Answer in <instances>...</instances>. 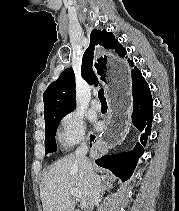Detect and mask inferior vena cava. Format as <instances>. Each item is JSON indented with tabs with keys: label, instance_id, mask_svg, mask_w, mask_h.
Instances as JSON below:
<instances>
[{
	"label": "inferior vena cava",
	"instance_id": "1",
	"mask_svg": "<svg viewBox=\"0 0 179 211\" xmlns=\"http://www.w3.org/2000/svg\"><path fill=\"white\" fill-rule=\"evenodd\" d=\"M88 152V145L86 142H83L75 151V156L79 162L80 167L86 173L88 179L93 183L90 200L88 202V211H91L94 204L100 201V194L102 191L100 180L94 179L92 163L86 157Z\"/></svg>",
	"mask_w": 179,
	"mask_h": 211
}]
</instances>
